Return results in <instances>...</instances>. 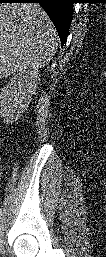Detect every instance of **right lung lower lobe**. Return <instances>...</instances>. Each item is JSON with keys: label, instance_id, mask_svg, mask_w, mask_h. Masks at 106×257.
Instances as JSON below:
<instances>
[{"label": "right lung lower lobe", "instance_id": "right-lung-lower-lobe-1", "mask_svg": "<svg viewBox=\"0 0 106 257\" xmlns=\"http://www.w3.org/2000/svg\"><path fill=\"white\" fill-rule=\"evenodd\" d=\"M0 2L39 3L55 25L63 47L69 32L75 0H0Z\"/></svg>", "mask_w": 106, "mask_h": 257}]
</instances>
